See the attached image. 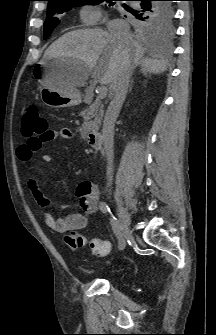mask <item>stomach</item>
<instances>
[{"label": "stomach", "mask_w": 216, "mask_h": 335, "mask_svg": "<svg viewBox=\"0 0 216 335\" xmlns=\"http://www.w3.org/2000/svg\"><path fill=\"white\" fill-rule=\"evenodd\" d=\"M77 64L69 59L55 58L41 61L34 67V76L41 84L40 97L43 103L52 108H67L80 103L77 90L69 87L66 76Z\"/></svg>", "instance_id": "0dacf381"}]
</instances>
